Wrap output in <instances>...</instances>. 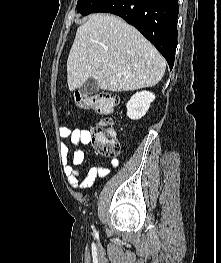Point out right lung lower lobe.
<instances>
[{"label": "right lung lower lobe", "mask_w": 221, "mask_h": 263, "mask_svg": "<svg viewBox=\"0 0 221 263\" xmlns=\"http://www.w3.org/2000/svg\"><path fill=\"white\" fill-rule=\"evenodd\" d=\"M97 12L118 15L136 27L172 69L177 47L178 0H105L93 13Z\"/></svg>", "instance_id": "obj_1"}]
</instances>
